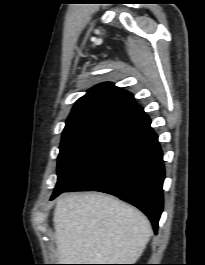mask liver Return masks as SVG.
Wrapping results in <instances>:
<instances>
[{"label":"liver","instance_id":"liver-1","mask_svg":"<svg viewBox=\"0 0 205 265\" xmlns=\"http://www.w3.org/2000/svg\"><path fill=\"white\" fill-rule=\"evenodd\" d=\"M60 264H134L152 236L147 217L111 196H61L53 214Z\"/></svg>","mask_w":205,"mask_h":265}]
</instances>
